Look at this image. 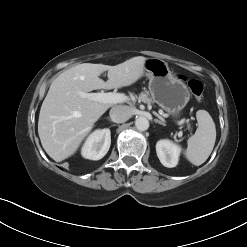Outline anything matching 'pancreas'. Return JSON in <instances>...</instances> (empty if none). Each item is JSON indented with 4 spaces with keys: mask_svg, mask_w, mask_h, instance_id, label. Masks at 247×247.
Returning a JSON list of instances; mask_svg holds the SVG:
<instances>
[{
    "mask_svg": "<svg viewBox=\"0 0 247 247\" xmlns=\"http://www.w3.org/2000/svg\"><path fill=\"white\" fill-rule=\"evenodd\" d=\"M139 99H140L142 102H144V103H146V104H148V105H150V104L152 103V100H151V98L149 97L148 92H142V93L139 95Z\"/></svg>",
    "mask_w": 247,
    "mask_h": 247,
    "instance_id": "obj_1",
    "label": "pancreas"
}]
</instances>
